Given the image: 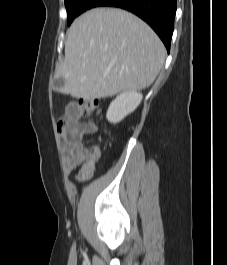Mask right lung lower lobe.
Segmentation results:
<instances>
[{"label":"right lung lower lobe","instance_id":"obj_1","mask_svg":"<svg viewBox=\"0 0 227 265\" xmlns=\"http://www.w3.org/2000/svg\"><path fill=\"white\" fill-rule=\"evenodd\" d=\"M100 6L119 7L136 14L153 28L170 51L176 0H95L90 8Z\"/></svg>","mask_w":227,"mask_h":265}]
</instances>
